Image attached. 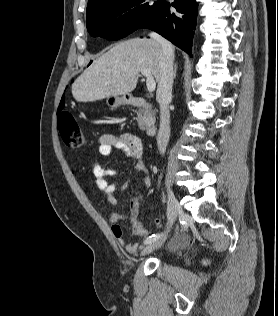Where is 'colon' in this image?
<instances>
[{
    "label": "colon",
    "mask_w": 278,
    "mask_h": 316,
    "mask_svg": "<svg viewBox=\"0 0 278 316\" xmlns=\"http://www.w3.org/2000/svg\"><path fill=\"white\" fill-rule=\"evenodd\" d=\"M58 130L64 144L68 148L77 149L84 146L87 142L84 131L70 113L63 111L59 113Z\"/></svg>",
    "instance_id": "obj_1"
}]
</instances>
